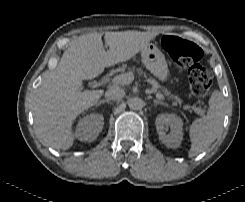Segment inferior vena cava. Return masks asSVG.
Wrapping results in <instances>:
<instances>
[{
    "mask_svg": "<svg viewBox=\"0 0 245 202\" xmlns=\"http://www.w3.org/2000/svg\"><path fill=\"white\" fill-rule=\"evenodd\" d=\"M124 95L125 91L119 87L111 88L105 92V97L108 100H119L123 98Z\"/></svg>",
    "mask_w": 245,
    "mask_h": 202,
    "instance_id": "inferior-vena-cava-1",
    "label": "inferior vena cava"
}]
</instances>
